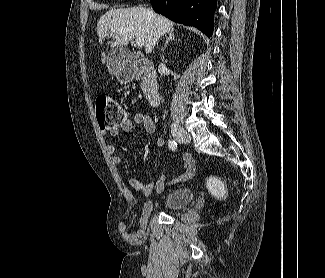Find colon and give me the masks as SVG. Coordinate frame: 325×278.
<instances>
[{"mask_svg": "<svg viewBox=\"0 0 325 278\" xmlns=\"http://www.w3.org/2000/svg\"><path fill=\"white\" fill-rule=\"evenodd\" d=\"M98 125L102 130H112L126 121L125 109L109 96H98L95 102ZM208 188L216 196H223L225 183L216 176L208 179Z\"/></svg>", "mask_w": 325, "mask_h": 278, "instance_id": "5ec220e1", "label": "colon"}]
</instances>
